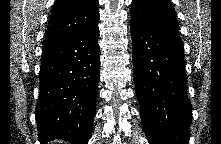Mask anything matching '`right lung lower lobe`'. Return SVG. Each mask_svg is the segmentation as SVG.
Listing matches in <instances>:
<instances>
[{
	"instance_id": "obj_1",
	"label": "right lung lower lobe",
	"mask_w": 221,
	"mask_h": 144,
	"mask_svg": "<svg viewBox=\"0 0 221 144\" xmlns=\"http://www.w3.org/2000/svg\"><path fill=\"white\" fill-rule=\"evenodd\" d=\"M98 25L42 51L40 93L35 110L40 142L63 139L87 144L96 113Z\"/></svg>"
}]
</instances>
